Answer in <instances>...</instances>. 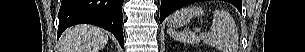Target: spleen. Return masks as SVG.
Returning a JSON list of instances; mask_svg holds the SVG:
<instances>
[{
  "label": "spleen",
  "instance_id": "spleen-1",
  "mask_svg": "<svg viewBox=\"0 0 305 52\" xmlns=\"http://www.w3.org/2000/svg\"><path fill=\"white\" fill-rule=\"evenodd\" d=\"M210 30L208 33L199 34V36L186 30L177 32L174 29H168V33L170 37L182 43L197 44L202 41L204 44L215 47L221 52H231L232 45L229 37L233 30V20L230 14L216 9Z\"/></svg>",
  "mask_w": 305,
  "mask_h": 52
}]
</instances>
